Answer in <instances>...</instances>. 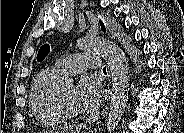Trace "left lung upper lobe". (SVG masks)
Listing matches in <instances>:
<instances>
[{"instance_id":"obj_1","label":"left lung upper lobe","mask_w":184,"mask_h":133,"mask_svg":"<svg viewBox=\"0 0 184 133\" xmlns=\"http://www.w3.org/2000/svg\"><path fill=\"white\" fill-rule=\"evenodd\" d=\"M99 23L101 25L102 31L104 32L105 31V26H104L103 22L100 20ZM49 51H50L49 45L48 44L43 45L39 49V52H38V55H37V60L42 61L46 57V55L49 53Z\"/></svg>"}]
</instances>
